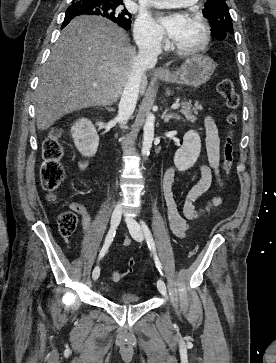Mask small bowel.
Instances as JSON below:
<instances>
[{"label": "small bowel", "instance_id": "c3829d8e", "mask_svg": "<svg viewBox=\"0 0 276 363\" xmlns=\"http://www.w3.org/2000/svg\"><path fill=\"white\" fill-rule=\"evenodd\" d=\"M204 127L206 130V150L209 164L199 165L200 179L187 192L181 208H179L177 200L173 192V183L175 177V169L168 168L163 175L162 190L164 195V209L168 219L169 227L172 233L179 239H186L192 228V221L197 220L203 215L207 208L197 207L196 200L206 192L214 180L222 184L219 176L220 164V136L219 130L214 119L211 116L204 118ZM89 165V160H79L78 168L85 170ZM222 203V197L215 198L214 206H219ZM71 208L81 216L82 234L86 235L90 229V215L87 208L80 203H73ZM131 244V239L125 237L122 246L127 247ZM124 274L119 272H110L108 278L117 282Z\"/></svg>", "mask_w": 276, "mask_h": 363}]
</instances>
